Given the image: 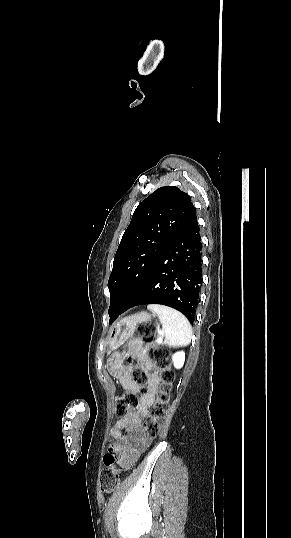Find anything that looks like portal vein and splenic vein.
I'll use <instances>...</instances> for the list:
<instances>
[{
  "label": "portal vein and splenic vein",
  "mask_w": 291,
  "mask_h": 538,
  "mask_svg": "<svg viewBox=\"0 0 291 538\" xmlns=\"http://www.w3.org/2000/svg\"><path fill=\"white\" fill-rule=\"evenodd\" d=\"M156 341H157V343H162V336L157 337Z\"/></svg>",
  "instance_id": "1"
}]
</instances>
